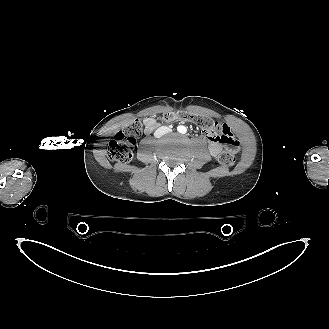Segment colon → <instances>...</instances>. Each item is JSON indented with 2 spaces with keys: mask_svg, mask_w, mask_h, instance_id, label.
I'll use <instances>...</instances> for the list:
<instances>
[{
  "mask_svg": "<svg viewBox=\"0 0 329 329\" xmlns=\"http://www.w3.org/2000/svg\"><path fill=\"white\" fill-rule=\"evenodd\" d=\"M157 119L161 122L185 120L194 123L204 132L220 133L221 135L217 138L224 145V150L218 156V160L224 166L231 167L235 164V152L238 148V142L226 132L224 125L216 120L203 114L190 112H166L159 114ZM142 131V123L139 120H133L122 131L118 132L109 142L108 155L110 159L117 162L130 161L133 146Z\"/></svg>",
  "mask_w": 329,
  "mask_h": 329,
  "instance_id": "obj_1",
  "label": "colon"
}]
</instances>
